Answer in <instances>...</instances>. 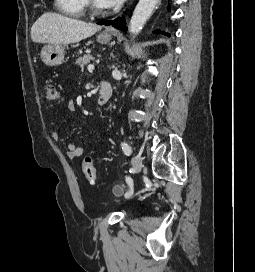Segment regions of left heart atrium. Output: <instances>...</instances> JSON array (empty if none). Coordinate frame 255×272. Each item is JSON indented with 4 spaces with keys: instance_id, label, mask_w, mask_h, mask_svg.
I'll return each instance as SVG.
<instances>
[{
    "instance_id": "left-heart-atrium-1",
    "label": "left heart atrium",
    "mask_w": 255,
    "mask_h": 272,
    "mask_svg": "<svg viewBox=\"0 0 255 272\" xmlns=\"http://www.w3.org/2000/svg\"><path fill=\"white\" fill-rule=\"evenodd\" d=\"M104 8H112L120 5L124 0H98Z\"/></svg>"
}]
</instances>
